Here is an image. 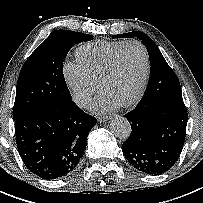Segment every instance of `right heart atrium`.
<instances>
[{"label":"right heart atrium","mask_w":203,"mask_h":203,"mask_svg":"<svg viewBox=\"0 0 203 203\" xmlns=\"http://www.w3.org/2000/svg\"><path fill=\"white\" fill-rule=\"evenodd\" d=\"M63 75L75 102L85 107L97 90V81L79 63L73 61L65 62Z\"/></svg>","instance_id":"obj_1"}]
</instances>
